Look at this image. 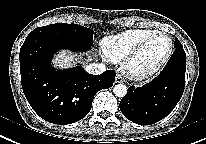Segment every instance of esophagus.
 Returning a JSON list of instances; mask_svg holds the SVG:
<instances>
[{"mask_svg":"<svg viewBox=\"0 0 206 144\" xmlns=\"http://www.w3.org/2000/svg\"><path fill=\"white\" fill-rule=\"evenodd\" d=\"M123 78L121 75L117 74L116 77H115V83H121L123 82Z\"/></svg>","mask_w":206,"mask_h":144,"instance_id":"esophagus-1","label":"esophagus"}]
</instances>
